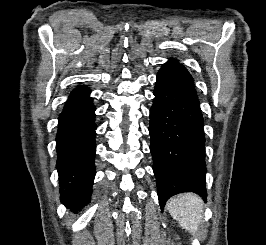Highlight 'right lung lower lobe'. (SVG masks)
Returning a JSON list of instances; mask_svg holds the SVG:
<instances>
[{
  "instance_id": "obj_1",
  "label": "right lung lower lobe",
  "mask_w": 266,
  "mask_h": 245,
  "mask_svg": "<svg viewBox=\"0 0 266 245\" xmlns=\"http://www.w3.org/2000/svg\"><path fill=\"white\" fill-rule=\"evenodd\" d=\"M86 86L74 89L59 115L56 136L61 202L74 211L88 204L95 177V107Z\"/></svg>"
}]
</instances>
